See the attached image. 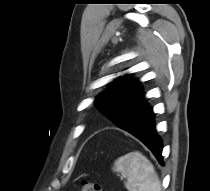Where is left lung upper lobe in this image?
<instances>
[{
    "instance_id": "1",
    "label": "left lung upper lobe",
    "mask_w": 210,
    "mask_h": 191,
    "mask_svg": "<svg viewBox=\"0 0 210 191\" xmlns=\"http://www.w3.org/2000/svg\"><path fill=\"white\" fill-rule=\"evenodd\" d=\"M130 75L119 77L113 81L114 86L108 87L94 101V105L120 128L128 131L136 129V119L131 120L130 114L136 107L143 104L144 92L140 82L125 79Z\"/></svg>"
}]
</instances>
